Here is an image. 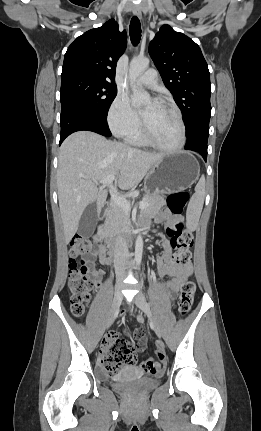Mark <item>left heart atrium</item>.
<instances>
[{
    "mask_svg": "<svg viewBox=\"0 0 261 431\" xmlns=\"http://www.w3.org/2000/svg\"><path fill=\"white\" fill-rule=\"evenodd\" d=\"M159 105V102H158V100L157 99H154L153 100V102H152V104H151V107H157Z\"/></svg>",
    "mask_w": 261,
    "mask_h": 431,
    "instance_id": "left-heart-atrium-1",
    "label": "left heart atrium"
}]
</instances>
